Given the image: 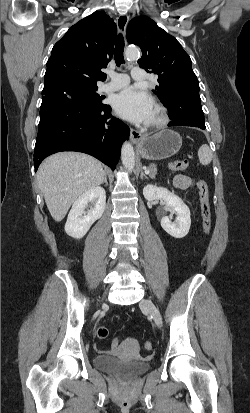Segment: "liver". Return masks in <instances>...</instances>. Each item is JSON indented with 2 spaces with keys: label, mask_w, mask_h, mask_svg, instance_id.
Masks as SVG:
<instances>
[{
  "label": "liver",
  "mask_w": 250,
  "mask_h": 413,
  "mask_svg": "<svg viewBox=\"0 0 250 413\" xmlns=\"http://www.w3.org/2000/svg\"><path fill=\"white\" fill-rule=\"evenodd\" d=\"M102 164L92 156L78 152H60L46 158L37 172L52 218L59 222L72 203L104 180Z\"/></svg>",
  "instance_id": "6515ba94"
}]
</instances>
